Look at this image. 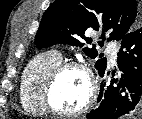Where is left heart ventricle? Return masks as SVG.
Returning a JSON list of instances; mask_svg holds the SVG:
<instances>
[{
  "instance_id": "left-heart-ventricle-1",
  "label": "left heart ventricle",
  "mask_w": 142,
  "mask_h": 119,
  "mask_svg": "<svg viewBox=\"0 0 142 119\" xmlns=\"http://www.w3.org/2000/svg\"><path fill=\"white\" fill-rule=\"evenodd\" d=\"M88 92L86 76L79 70H68L61 75L54 88L53 102L60 110L73 111L83 105Z\"/></svg>"
}]
</instances>
